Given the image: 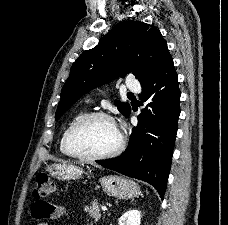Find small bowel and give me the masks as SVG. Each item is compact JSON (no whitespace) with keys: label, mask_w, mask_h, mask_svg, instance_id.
Wrapping results in <instances>:
<instances>
[{"label":"small bowel","mask_w":228,"mask_h":225,"mask_svg":"<svg viewBox=\"0 0 228 225\" xmlns=\"http://www.w3.org/2000/svg\"><path fill=\"white\" fill-rule=\"evenodd\" d=\"M37 204H31L32 218H38L39 225H48L47 218L57 219L66 214V209L61 206L49 204V199H37ZM54 212V213H53Z\"/></svg>","instance_id":"small-bowel-1"}]
</instances>
